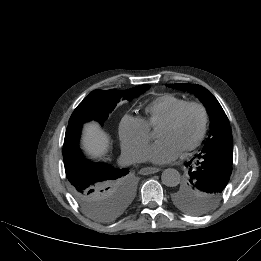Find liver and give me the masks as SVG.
<instances>
[{
  "label": "liver",
  "instance_id": "1",
  "mask_svg": "<svg viewBox=\"0 0 261 261\" xmlns=\"http://www.w3.org/2000/svg\"><path fill=\"white\" fill-rule=\"evenodd\" d=\"M82 146L92 157H101L107 151L109 137L96 122H90L85 125Z\"/></svg>",
  "mask_w": 261,
  "mask_h": 261
}]
</instances>
